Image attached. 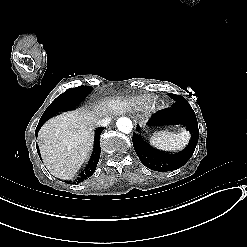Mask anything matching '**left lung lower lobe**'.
<instances>
[{
	"mask_svg": "<svg viewBox=\"0 0 247 247\" xmlns=\"http://www.w3.org/2000/svg\"><path fill=\"white\" fill-rule=\"evenodd\" d=\"M167 115L174 123L179 121L185 123L192 134V140L184 150L175 154H168L152 148L143 140L141 135L134 133L132 142L137 156L144 166L154 171H172L182 167L191 158L198 143V123L195 112L189 103L175 102L173 107L168 109Z\"/></svg>",
	"mask_w": 247,
	"mask_h": 247,
	"instance_id": "obj_1",
	"label": "left lung lower lobe"
}]
</instances>
